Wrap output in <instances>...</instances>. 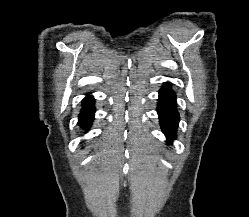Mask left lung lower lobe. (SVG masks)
I'll use <instances>...</instances> for the list:
<instances>
[{
    "mask_svg": "<svg viewBox=\"0 0 249 217\" xmlns=\"http://www.w3.org/2000/svg\"><path fill=\"white\" fill-rule=\"evenodd\" d=\"M157 112L162 130L171 142L175 138L180 118L176 110V95L168 84H164L159 92Z\"/></svg>",
    "mask_w": 249,
    "mask_h": 217,
    "instance_id": "left-lung-lower-lobe-1",
    "label": "left lung lower lobe"
}]
</instances>
